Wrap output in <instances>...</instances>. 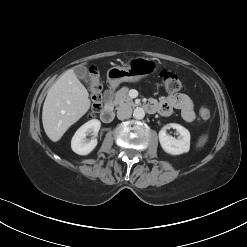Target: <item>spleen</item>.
<instances>
[{
  "mask_svg": "<svg viewBox=\"0 0 247 247\" xmlns=\"http://www.w3.org/2000/svg\"><path fill=\"white\" fill-rule=\"evenodd\" d=\"M207 139H208L207 135L201 136L198 143H197V147H203L205 145V143L207 142Z\"/></svg>",
  "mask_w": 247,
  "mask_h": 247,
  "instance_id": "obj_1",
  "label": "spleen"
}]
</instances>
